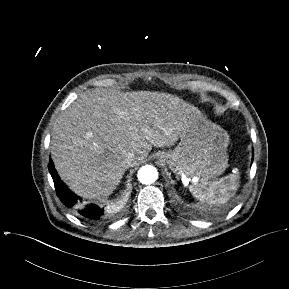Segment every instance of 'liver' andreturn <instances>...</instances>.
I'll use <instances>...</instances> for the list:
<instances>
[{
  "mask_svg": "<svg viewBox=\"0 0 289 289\" xmlns=\"http://www.w3.org/2000/svg\"><path fill=\"white\" fill-rule=\"evenodd\" d=\"M196 108L177 96L93 89L58 117L51 154L60 178L79 196L102 201L113 193L133 153L144 160L152 147L178 141Z\"/></svg>",
  "mask_w": 289,
  "mask_h": 289,
  "instance_id": "1",
  "label": "liver"
}]
</instances>
